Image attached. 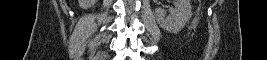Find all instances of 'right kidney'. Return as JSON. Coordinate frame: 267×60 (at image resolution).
Returning a JSON list of instances; mask_svg holds the SVG:
<instances>
[{"label":"right kidney","mask_w":267,"mask_h":60,"mask_svg":"<svg viewBox=\"0 0 267 60\" xmlns=\"http://www.w3.org/2000/svg\"><path fill=\"white\" fill-rule=\"evenodd\" d=\"M78 2L81 8L88 9L92 7L97 2V0H78Z\"/></svg>","instance_id":"ca27d5eb"}]
</instances>
